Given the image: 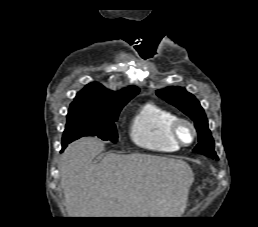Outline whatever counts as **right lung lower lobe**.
I'll return each instance as SVG.
<instances>
[{"mask_svg":"<svg viewBox=\"0 0 258 227\" xmlns=\"http://www.w3.org/2000/svg\"><path fill=\"white\" fill-rule=\"evenodd\" d=\"M68 144H69V143L62 144V150H61V151H63V150L66 148V146H67Z\"/></svg>","mask_w":258,"mask_h":227,"instance_id":"right-lung-lower-lobe-1","label":"right lung lower lobe"}]
</instances>
